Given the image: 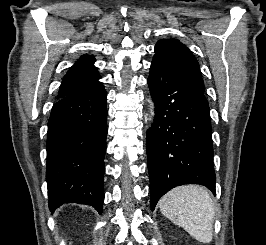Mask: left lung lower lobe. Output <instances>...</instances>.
Masks as SVG:
<instances>
[{"label": "left lung lower lobe", "instance_id": "1", "mask_svg": "<svg viewBox=\"0 0 266 245\" xmlns=\"http://www.w3.org/2000/svg\"><path fill=\"white\" fill-rule=\"evenodd\" d=\"M148 85L155 104L146 149L151 210L180 185H204L215 195L211 119L204 91L157 60H152Z\"/></svg>", "mask_w": 266, "mask_h": 245}]
</instances>
